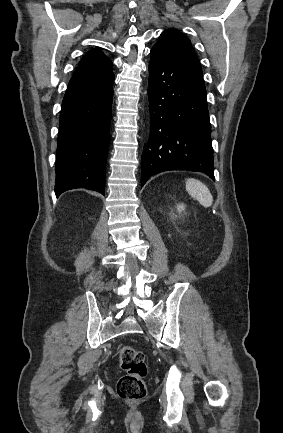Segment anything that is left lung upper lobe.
I'll list each match as a JSON object with an SVG mask.
<instances>
[{"label": "left lung upper lobe", "mask_w": 283, "mask_h": 433, "mask_svg": "<svg viewBox=\"0 0 283 433\" xmlns=\"http://www.w3.org/2000/svg\"><path fill=\"white\" fill-rule=\"evenodd\" d=\"M153 48H166L197 59L190 40L174 30L164 31Z\"/></svg>", "instance_id": "5c2ea615"}]
</instances>
